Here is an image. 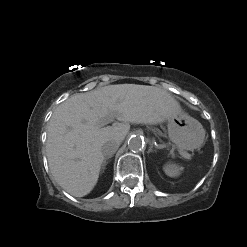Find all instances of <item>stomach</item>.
<instances>
[{
    "instance_id": "1",
    "label": "stomach",
    "mask_w": 247,
    "mask_h": 247,
    "mask_svg": "<svg viewBox=\"0 0 247 247\" xmlns=\"http://www.w3.org/2000/svg\"><path fill=\"white\" fill-rule=\"evenodd\" d=\"M168 134L170 140L181 152L201 147L205 139L202 124L185 113L179 105L168 118Z\"/></svg>"
}]
</instances>
